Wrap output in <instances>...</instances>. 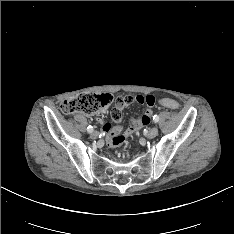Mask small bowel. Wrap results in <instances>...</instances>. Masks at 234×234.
I'll return each mask as SVG.
<instances>
[{"label":"small bowel","mask_w":234,"mask_h":234,"mask_svg":"<svg viewBox=\"0 0 234 234\" xmlns=\"http://www.w3.org/2000/svg\"><path fill=\"white\" fill-rule=\"evenodd\" d=\"M155 102V97L149 95L142 96L136 95L135 93H129L127 95L119 96L115 102V105H112L110 109V113H113V125L110 123L104 124V130L107 133L106 143L111 147H116L123 143L126 135L130 134L131 132L138 134L140 132V128L144 127L150 122V118L153 113L151 107L153 104H155ZM129 104H143L149 108L144 111L143 115L138 120H131V126L126 132V135H121L122 126L119 122L122 118L121 112Z\"/></svg>","instance_id":"1"}]
</instances>
